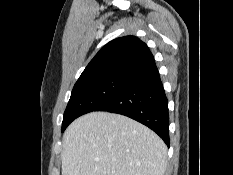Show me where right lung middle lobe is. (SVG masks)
I'll list each match as a JSON object with an SVG mask.
<instances>
[{
  "instance_id": "obj_1",
  "label": "right lung middle lobe",
  "mask_w": 233,
  "mask_h": 175,
  "mask_svg": "<svg viewBox=\"0 0 233 175\" xmlns=\"http://www.w3.org/2000/svg\"><path fill=\"white\" fill-rule=\"evenodd\" d=\"M132 79L125 75H104L77 81L64 113L62 132L77 117L95 111L112 99Z\"/></svg>"
}]
</instances>
